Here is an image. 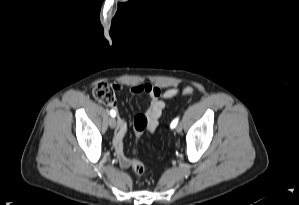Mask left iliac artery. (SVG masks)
Returning <instances> with one entry per match:
<instances>
[{
	"mask_svg": "<svg viewBox=\"0 0 299 205\" xmlns=\"http://www.w3.org/2000/svg\"><path fill=\"white\" fill-rule=\"evenodd\" d=\"M178 120H179V118H175V119L171 122L170 127H171L172 129L176 127V125H177V123H178Z\"/></svg>",
	"mask_w": 299,
	"mask_h": 205,
	"instance_id": "1",
	"label": "left iliac artery"
}]
</instances>
